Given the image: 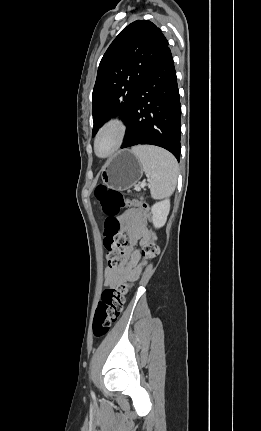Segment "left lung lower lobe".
I'll use <instances>...</instances> for the list:
<instances>
[{"label": "left lung lower lobe", "mask_w": 261, "mask_h": 431, "mask_svg": "<svg viewBox=\"0 0 261 431\" xmlns=\"http://www.w3.org/2000/svg\"><path fill=\"white\" fill-rule=\"evenodd\" d=\"M121 148L160 146L180 159L181 109L177 77L167 47L148 71L126 121Z\"/></svg>", "instance_id": "0a47b994"}]
</instances>
